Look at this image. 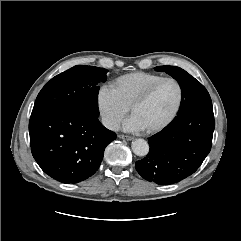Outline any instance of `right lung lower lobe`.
I'll list each match as a JSON object with an SVG mask.
<instances>
[{"label":"right lung lower lobe","mask_w":241,"mask_h":241,"mask_svg":"<svg viewBox=\"0 0 241 241\" xmlns=\"http://www.w3.org/2000/svg\"><path fill=\"white\" fill-rule=\"evenodd\" d=\"M31 151L40 168L62 183H78L99 168L105 147L116 134L97 117L60 109L31 114Z\"/></svg>","instance_id":"right-lung-lower-lobe-1"}]
</instances>
